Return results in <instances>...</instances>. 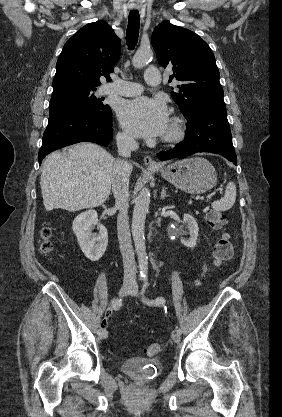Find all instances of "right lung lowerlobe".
<instances>
[{"label":"right lung lower lobe","mask_w":282,"mask_h":417,"mask_svg":"<svg viewBox=\"0 0 282 417\" xmlns=\"http://www.w3.org/2000/svg\"><path fill=\"white\" fill-rule=\"evenodd\" d=\"M113 137L111 109L68 108L50 115L38 154L39 163L50 152L78 143L108 145Z\"/></svg>","instance_id":"98d812e1"}]
</instances>
